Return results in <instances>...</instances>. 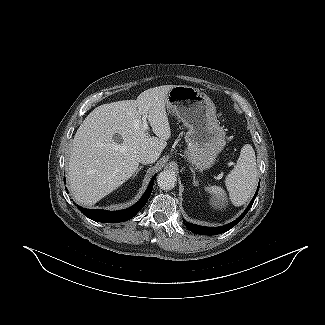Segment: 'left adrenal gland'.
Masks as SVG:
<instances>
[{
    "mask_svg": "<svg viewBox=\"0 0 325 325\" xmlns=\"http://www.w3.org/2000/svg\"><path fill=\"white\" fill-rule=\"evenodd\" d=\"M191 172H192V176H193V184L195 186H198V179H196V174L195 171L193 170V168H190Z\"/></svg>",
    "mask_w": 325,
    "mask_h": 325,
    "instance_id": "left-adrenal-gland-1",
    "label": "left adrenal gland"
}]
</instances>
